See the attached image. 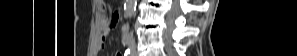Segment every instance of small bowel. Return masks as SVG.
I'll list each match as a JSON object with an SVG mask.
<instances>
[{"label": "small bowel", "instance_id": "c3829d8e", "mask_svg": "<svg viewBox=\"0 0 297 56\" xmlns=\"http://www.w3.org/2000/svg\"><path fill=\"white\" fill-rule=\"evenodd\" d=\"M118 21V14L115 13L112 17L103 14L100 18V35L95 45L96 53L100 52L105 46L106 37L110 30L116 25ZM117 56H121L120 53Z\"/></svg>", "mask_w": 297, "mask_h": 56}]
</instances>
